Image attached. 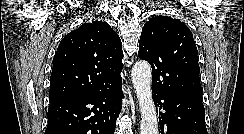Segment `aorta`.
Segmentation results:
<instances>
[{"label":"aorta","instance_id":"1","mask_svg":"<svg viewBox=\"0 0 244 134\" xmlns=\"http://www.w3.org/2000/svg\"><path fill=\"white\" fill-rule=\"evenodd\" d=\"M131 76L141 112L140 134H159L157 113L152 99L150 64L146 61L136 62Z\"/></svg>","mask_w":244,"mask_h":134}]
</instances>
